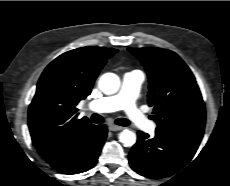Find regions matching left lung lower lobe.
Returning a JSON list of instances; mask_svg holds the SVG:
<instances>
[{"label":"left lung lower lobe","instance_id":"left-lung-lower-lobe-1","mask_svg":"<svg viewBox=\"0 0 230 186\" xmlns=\"http://www.w3.org/2000/svg\"><path fill=\"white\" fill-rule=\"evenodd\" d=\"M202 137L179 135L156 129L154 138L138 132L136 144L129 153V163L136 172L159 179L182 169L194 156Z\"/></svg>","mask_w":230,"mask_h":186}]
</instances>
